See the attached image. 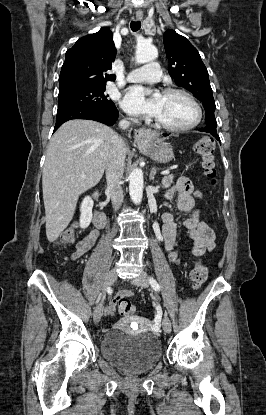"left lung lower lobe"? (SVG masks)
I'll use <instances>...</instances> for the list:
<instances>
[{"instance_id": "1", "label": "left lung lower lobe", "mask_w": 266, "mask_h": 415, "mask_svg": "<svg viewBox=\"0 0 266 415\" xmlns=\"http://www.w3.org/2000/svg\"><path fill=\"white\" fill-rule=\"evenodd\" d=\"M165 136H167L168 134H164ZM217 140H219V137L216 138Z\"/></svg>"}]
</instances>
